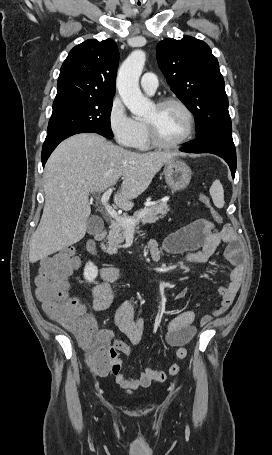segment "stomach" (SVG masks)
Listing matches in <instances>:
<instances>
[{"label": "stomach", "mask_w": 272, "mask_h": 455, "mask_svg": "<svg viewBox=\"0 0 272 455\" xmlns=\"http://www.w3.org/2000/svg\"><path fill=\"white\" fill-rule=\"evenodd\" d=\"M163 173L167 185L173 191H180L185 189L191 180V169L186 163L176 158L165 163Z\"/></svg>", "instance_id": "0dacf381"}]
</instances>
